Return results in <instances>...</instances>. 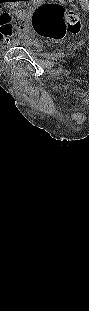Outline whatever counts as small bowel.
<instances>
[{
  "label": "small bowel",
  "mask_w": 89,
  "mask_h": 311,
  "mask_svg": "<svg viewBox=\"0 0 89 311\" xmlns=\"http://www.w3.org/2000/svg\"><path fill=\"white\" fill-rule=\"evenodd\" d=\"M5 31L2 32V42L3 44L9 45L16 41V37L13 34V30L8 29L6 25H4Z\"/></svg>",
  "instance_id": "obj_1"
}]
</instances>
